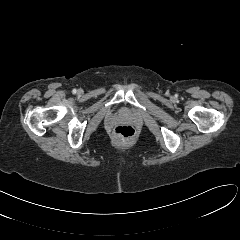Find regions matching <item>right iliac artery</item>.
<instances>
[{"label":"right iliac artery","mask_w":240,"mask_h":240,"mask_svg":"<svg viewBox=\"0 0 240 240\" xmlns=\"http://www.w3.org/2000/svg\"><path fill=\"white\" fill-rule=\"evenodd\" d=\"M72 92H73V94H75V93L77 92V90H76V89H73Z\"/></svg>","instance_id":"82829eb1"}]
</instances>
